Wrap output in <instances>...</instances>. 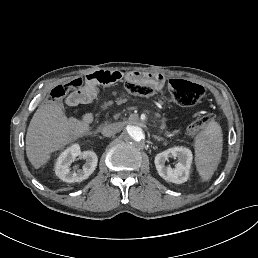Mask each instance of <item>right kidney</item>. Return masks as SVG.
Listing matches in <instances>:
<instances>
[{
	"label": "right kidney",
	"instance_id": "ca27d5eb",
	"mask_svg": "<svg viewBox=\"0 0 258 258\" xmlns=\"http://www.w3.org/2000/svg\"><path fill=\"white\" fill-rule=\"evenodd\" d=\"M81 157L86 160L82 169L73 168L71 171L70 165L77 158ZM98 158L93 151L81 152L79 144H73L64 150L57 158L55 164V174L61 180L72 183L81 182L87 179L95 170Z\"/></svg>",
	"mask_w": 258,
	"mask_h": 258
}]
</instances>
